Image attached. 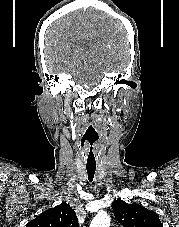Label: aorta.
Wrapping results in <instances>:
<instances>
[{
    "instance_id": "aorta-1",
    "label": "aorta",
    "mask_w": 179,
    "mask_h": 227,
    "mask_svg": "<svg viewBox=\"0 0 179 227\" xmlns=\"http://www.w3.org/2000/svg\"><path fill=\"white\" fill-rule=\"evenodd\" d=\"M110 216L106 212H99L91 221L90 227H110Z\"/></svg>"
}]
</instances>
